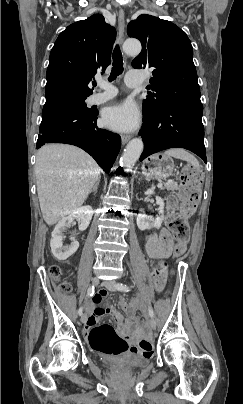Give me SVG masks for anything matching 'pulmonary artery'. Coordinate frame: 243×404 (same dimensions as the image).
Instances as JSON below:
<instances>
[{
	"instance_id": "1",
	"label": "pulmonary artery",
	"mask_w": 243,
	"mask_h": 404,
	"mask_svg": "<svg viewBox=\"0 0 243 404\" xmlns=\"http://www.w3.org/2000/svg\"><path fill=\"white\" fill-rule=\"evenodd\" d=\"M96 82L99 90L91 95V104L99 105L116 96L117 88L114 85L102 77H97ZM124 83L129 87H138L141 85L138 80L129 77L124 78Z\"/></svg>"
}]
</instances>
